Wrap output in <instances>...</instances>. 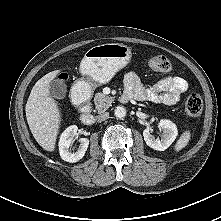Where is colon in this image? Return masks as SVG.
Instances as JSON below:
<instances>
[{
  "instance_id": "colon-1",
  "label": "colon",
  "mask_w": 221,
  "mask_h": 221,
  "mask_svg": "<svg viewBox=\"0 0 221 221\" xmlns=\"http://www.w3.org/2000/svg\"><path fill=\"white\" fill-rule=\"evenodd\" d=\"M148 65L151 69L158 72H169L172 69L170 60L162 54L152 55L148 59ZM203 109V101L197 92H192L188 95L185 110L189 117L197 118L201 115Z\"/></svg>"
}]
</instances>
